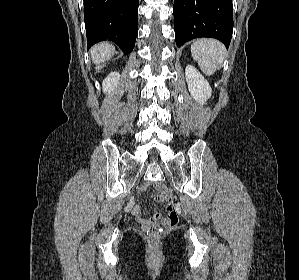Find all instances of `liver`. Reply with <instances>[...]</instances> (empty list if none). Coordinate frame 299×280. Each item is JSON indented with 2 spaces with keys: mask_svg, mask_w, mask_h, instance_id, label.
Instances as JSON below:
<instances>
[{
  "mask_svg": "<svg viewBox=\"0 0 299 280\" xmlns=\"http://www.w3.org/2000/svg\"><path fill=\"white\" fill-rule=\"evenodd\" d=\"M114 52V46L107 42L95 45L90 51L92 60L95 64H100L109 60L114 55Z\"/></svg>",
  "mask_w": 299,
  "mask_h": 280,
  "instance_id": "obj_1",
  "label": "liver"
}]
</instances>
